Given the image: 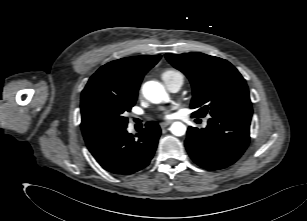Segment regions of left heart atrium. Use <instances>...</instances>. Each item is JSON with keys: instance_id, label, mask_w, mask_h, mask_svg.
Returning a JSON list of instances; mask_svg holds the SVG:
<instances>
[{"instance_id": "1", "label": "left heart atrium", "mask_w": 307, "mask_h": 221, "mask_svg": "<svg viewBox=\"0 0 307 221\" xmlns=\"http://www.w3.org/2000/svg\"><path fill=\"white\" fill-rule=\"evenodd\" d=\"M160 117L164 118V119H168L171 117V110L170 109H164L161 114Z\"/></svg>"}]
</instances>
